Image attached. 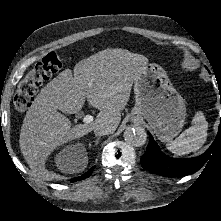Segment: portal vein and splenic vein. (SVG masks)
<instances>
[{
	"label": "portal vein and splenic vein",
	"instance_id": "obj_1",
	"mask_svg": "<svg viewBox=\"0 0 221 221\" xmlns=\"http://www.w3.org/2000/svg\"><path fill=\"white\" fill-rule=\"evenodd\" d=\"M92 121H93V116L90 114L85 115L83 118V122L85 124L91 123Z\"/></svg>",
	"mask_w": 221,
	"mask_h": 221
}]
</instances>
